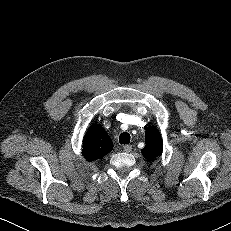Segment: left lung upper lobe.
Here are the masks:
<instances>
[{
  "label": "left lung upper lobe",
  "instance_id": "1",
  "mask_svg": "<svg viewBox=\"0 0 231 231\" xmlns=\"http://www.w3.org/2000/svg\"><path fill=\"white\" fill-rule=\"evenodd\" d=\"M145 147L141 150L143 156L150 161L159 157L163 150L161 134L155 127H148L145 133Z\"/></svg>",
  "mask_w": 231,
  "mask_h": 231
}]
</instances>
